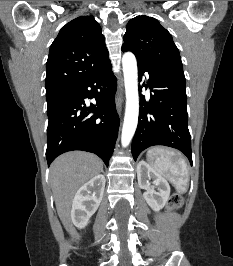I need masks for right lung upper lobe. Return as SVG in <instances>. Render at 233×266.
<instances>
[{
    "mask_svg": "<svg viewBox=\"0 0 233 266\" xmlns=\"http://www.w3.org/2000/svg\"><path fill=\"white\" fill-rule=\"evenodd\" d=\"M110 63L101 27L94 17L67 23L53 41L47 60L46 93L68 91Z\"/></svg>",
    "mask_w": 233,
    "mask_h": 266,
    "instance_id": "obj_1",
    "label": "right lung upper lobe"
}]
</instances>
